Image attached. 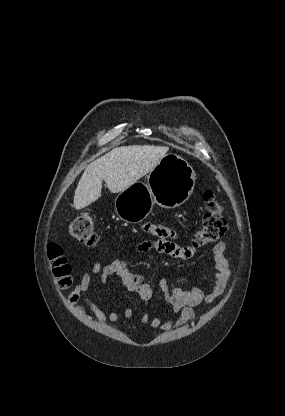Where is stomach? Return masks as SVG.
Instances as JSON below:
<instances>
[{"label": "stomach", "mask_w": 285, "mask_h": 416, "mask_svg": "<svg viewBox=\"0 0 285 416\" xmlns=\"http://www.w3.org/2000/svg\"><path fill=\"white\" fill-rule=\"evenodd\" d=\"M146 180L147 184L136 182L118 194L115 212L124 222L139 224L151 214L154 204L167 210L178 208L190 198L196 178L186 160L166 154Z\"/></svg>", "instance_id": "obj_1"}]
</instances>
